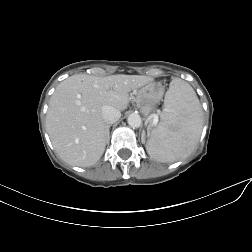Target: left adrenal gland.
Masks as SVG:
<instances>
[{
  "label": "left adrenal gland",
  "mask_w": 252,
  "mask_h": 252,
  "mask_svg": "<svg viewBox=\"0 0 252 252\" xmlns=\"http://www.w3.org/2000/svg\"><path fill=\"white\" fill-rule=\"evenodd\" d=\"M142 138L145 140V135L144 134L142 135Z\"/></svg>",
  "instance_id": "a2214340"
}]
</instances>
